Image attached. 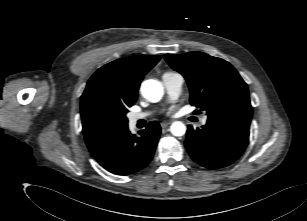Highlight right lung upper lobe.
I'll return each mask as SVG.
<instances>
[{
  "mask_svg": "<svg viewBox=\"0 0 307 221\" xmlns=\"http://www.w3.org/2000/svg\"><path fill=\"white\" fill-rule=\"evenodd\" d=\"M159 55L133 56L112 61L101 67L88 81L81 96L83 134L89 151L116 132L103 133L94 125L99 103L131 107L144 75L160 60Z\"/></svg>",
  "mask_w": 307,
  "mask_h": 221,
  "instance_id": "right-lung-upper-lobe-1",
  "label": "right lung upper lobe"
}]
</instances>
